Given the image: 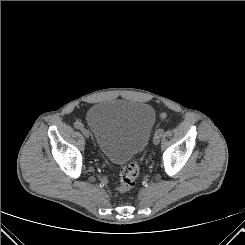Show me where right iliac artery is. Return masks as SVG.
<instances>
[{
    "label": "right iliac artery",
    "instance_id": "1",
    "mask_svg": "<svg viewBox=\"0 0 245 245\" xmlns=\"http://www.w3.org/2000/svg\"><path fill=\"white\" fill-rule=\"evenodd\" d=\"M74 127H75L76 129H82V128H83V124H82L81 122L76 121V122L74 123Z\"/></svg>",
    "mask_w": 245,
    "mask_h": 245
}]
</instances>
